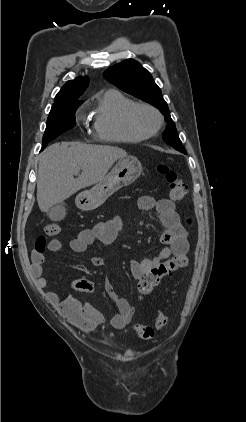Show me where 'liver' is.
Here are the masks:
<instances>
[{"label":"liver","instance_id":"liver-1","mask_svg":"<svg viewBox=\"0 0 246 422\" xmlns=\"http://www.w3.org/2000/svg\"><path fill=\"white\" fill-rule=\"evenodd\" d=\"M127 152L118 147L82 143H55L39 158L37 202L42 212L92 186L106 176L118 159ZM78 178H74L79 171Z\"/></svg>","mask_w":246,"mask_h":422}]
</instances>
